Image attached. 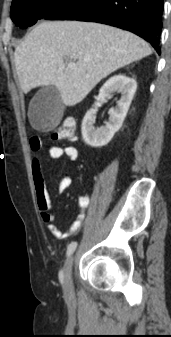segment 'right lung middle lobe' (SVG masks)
Instances as JSON below:
<instances>
[{
	"instance_id": "1",
	"label": "right lung middle lobe",
	"mask_w": 171,
	"mask_h": 337,
	"mask_svg": "<svg viewBox=\"0 0 171 337\" xmlns=\"http://www.w3.org/2000/svg\"><path fill=\"white\" fill-rule=\"evenodd\" d=\"M69 0H13L11 19L20 28L32 26L46 18Z\"/></svg>"
}]
</instances>
